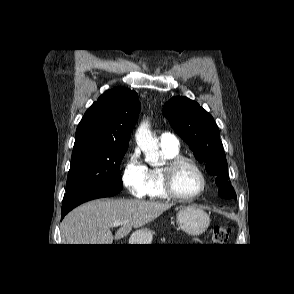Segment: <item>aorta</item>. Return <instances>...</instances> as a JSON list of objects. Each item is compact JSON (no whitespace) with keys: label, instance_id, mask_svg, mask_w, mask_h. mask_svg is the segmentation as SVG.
<instances>
[{"label":"aorta","instance_id":"aorta-1","mask_svg":"<svg viewBox=\"0 0 294 294\" xmlns=\"http://www.w3.org/2000/svg\"><path fill=\"white\" fill-rule=\"evenodd\" d=\"M136 142L145 155V160L152 165H156L159 160L158 141L153 137L148 122H143L138 127Z\"/></svg>","mask_w":294,"mask_h":294}]
</instances>
